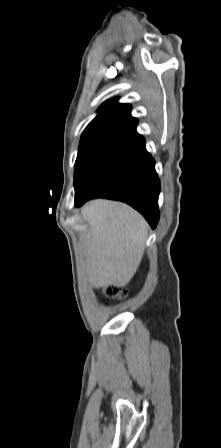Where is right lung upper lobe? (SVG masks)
Returning <instances> with one entry per match:
<instances>
[{
	"mask_svg": "<svg viewBox=\"0 0 221 448\" xmlns=\"http://www.w3.org/2000/svg\"><path fill=\"white\" fill-rule=\"evenodd\" d=\"M129 104L110 100L99 108L98 115L82 133L79 148L90 146L117 147L137 134V119L132 117Z\"/></svg>",
	"mask_w": 221,
	"mask_h": 448,
	"instance_id": "obj_1",
	"label": "right lung upper lobe"
}]
</instances>
